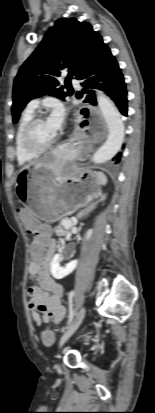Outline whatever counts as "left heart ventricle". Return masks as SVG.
I'll return each instance as SVG.
<instances>
[{
	"instance_id": "left-heart-ventricle-1",
	"label": "left heart ventricle",
	"mask_w": 155,
	"mask_h": 413,
	"mask_svg": "<svg viewBox=\"0 0 155 413\" xmlns=\"http://www.w3.org/2000/svg\"><path fill=\"white\" fill-rule=\"evenodd\" d=\"M33 137L36 144L46 145L55 138V135L50 130L47 121L44 120L36 125Z\"/></svg>"
}]
</instances>
